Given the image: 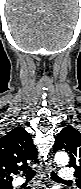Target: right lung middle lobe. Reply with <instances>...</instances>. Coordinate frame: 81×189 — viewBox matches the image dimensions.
Returning a JSON list of instances; mask_svg holds the SVG:
<instances>
[{"label":"right lung middle lobe","instance_id":"1","mask_svg":"<svg viewBox=\"0 0 81 189\" xmlns=\"http://www.w3.org/2000/svg\"><path fill=\"white\" fill-rule=\"evenodd\" d=\"M12 185H4V186H0V189H12Z\"/></svg>","mask_w":81,"mask_h":189}]
</instances>
